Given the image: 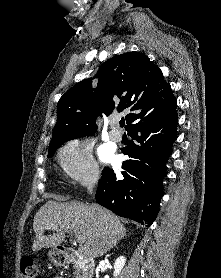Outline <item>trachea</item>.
<instances>
[{
  "label": "trachea",
  "mask_w": 221,
  "mask_h": 278,
  "mask_svg": "<svg viewBox=\"0 0 221 278\" xmlns=\"http://www.w3.org/2000/svg\"><path fill=\"white\" fill-rule=\"evenodd\" d=\"M119 124H120L121 127H124L125 121H124V120H121V121L119 122Z\"/></svg>",
  "instance_id": "obj_1"
}]
</instances>
